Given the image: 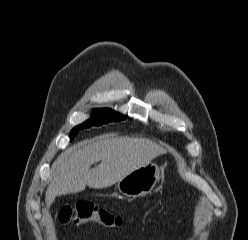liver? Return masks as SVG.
Returning <instances> with one entry per match:
<instances>
[{
    "mask_svg": "<svg viewBox=\"0 0 248 240\" xmlns=\"http://www.w3.org/2000/svg\"><path fill=\"white\" fill-rule=\"evenodd\" d=\"M165 152L144 138L103 136L93 142L82 141L54 162L45 194L46 206L49 208L56 196L81 192L86 185L93 189L110 187ZM98 161L101 163L90 169Z\"/></svg>",
    "mask_w": 248,
    "mask_h": 240,
    "instance_id": "1",
    "label": "liver"
}]
</instances>
